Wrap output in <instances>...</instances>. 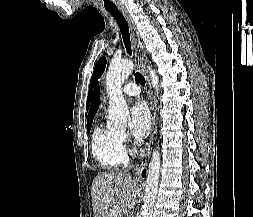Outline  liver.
Here are the masks:
<instances>
[{"label":"liver","instance_id":"obj_1","mask_svg":"<svg viewBox=\"0 0 253 217\" xmlns=\"http://www.w3.org/2000/svg\"><path fill=\"white\" fill-rule=\"evenodd\" d=\"M139 187L136 180L122 172L98 174L92 184L94 217H123L132 209Z\"/></svg>","mask_w":253,"mask_h":217}]
</instances>
